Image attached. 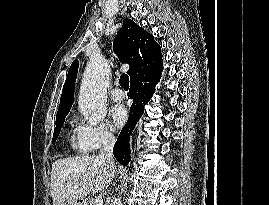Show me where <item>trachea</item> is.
Masks as SVG:
<instances>
[{"instance_id":"obj_1","label":"trachea","mask_w":269,"mask_h":205,"mask_svg":"<svg viewBox=\"0 0 269 205\" xmlns=\"http://www.w3.org/2000/svg\"><path fill=\"white\" fill-rule=\"evenodd\" d=\"M119 83H120V86H121L124 90H128V89H129V77H128V75H126V74H122V75L120 76Z\"/></svg>"}]
</instances>
